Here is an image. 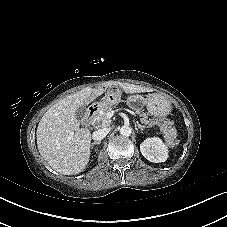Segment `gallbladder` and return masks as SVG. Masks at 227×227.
<instances>
[{"label":"gallbladder","instance_id":"1","mask_svg":"<svg viewBox=\"0 0 227 227\" xmlns=\"http://www.w3.org/2000/svg\"><path fill=\"white\" fill-rule=\"evenodd\" d=\"M85 114H86V108L84 106H81L80 108H78L76 112V116L78 119H83Z\"/></svg>","mask_w":227,"mask_h":227}]
</instances>
